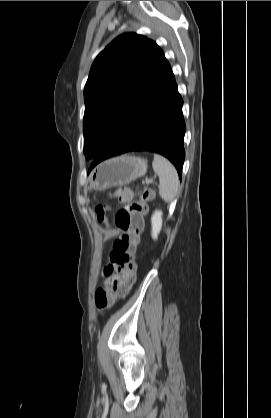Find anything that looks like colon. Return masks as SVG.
<instances>
[{"label": "colon", "instance_id": "5ec220e1", "mask_svg": "<svg viewBox=\"0 0 271 418\" xmlns=\"http://www.w3.org/2000/svg\"><path fill=\"white\" fill-rule=\"evenodd\" d=\"M114 196L124 204L115 214V224L121 234L113 243L110 262L105 268L107 275L114 273V276L108 286L99 288L95 293V304L99 310L107 308L115 297L126 296L135 282L134 254L143 229V217L154 194L145 188L139 199L134 200L132 190L122 187ZM106 210V206L97 207L96 213L100 222L106 221Z\"/></svg>", "mask_w": 271, "mask_h": 418}]
</instances>
